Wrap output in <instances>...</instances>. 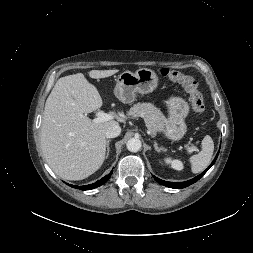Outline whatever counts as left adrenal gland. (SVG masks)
Returning <instances> with one entry per match:
<instances>
[{
  "label": "left adrenal gland",
  "instance_id": "left-adrenal-gland-1",
  "mask_svg": "<svg viewBox=\"0 0 253 253\" xmlns=\"http://www.w3.org/2000/svg\"><path fill=\"white\" fill-rule=\"evenodd\" d=\"M154 148L157 152H162V151L165 152L166 151V149L164 147H158V144L156 141H154Z\"/></svg>",
  "mask_w": 253,
  "mask_h": 253
}]
</instances>
